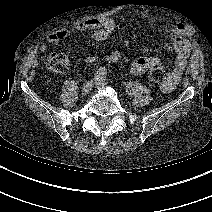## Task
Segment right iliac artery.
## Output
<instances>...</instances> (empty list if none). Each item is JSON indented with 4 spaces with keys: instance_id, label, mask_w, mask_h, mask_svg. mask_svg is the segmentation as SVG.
Returning a JSON list of instances; mask_svg holds the SVG:
<instances>
[{
    "instance_id": "obj_1",
    "label": "right iliac artery",
    "mask_w": 212,
    "mask_h": 212,
    "mask_svg": "<svg viewBox=\"0 0 212 212\" xmlns=\"http://www.w3.org/2000/svg\"><path fill=\"white\" fill-rule=\"evenodd\" d=\"M107 74V70L105 67H100L98 70H97V75L99 77H104L105 75Z\"/></svg>"
}]
</instances>
